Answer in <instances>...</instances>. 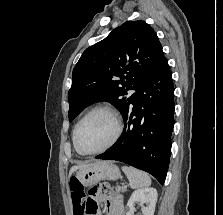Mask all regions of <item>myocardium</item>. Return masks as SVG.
<instances>
[{
  "instance_id": "myocardium-1",
  "label": "myocardium",
  "mask_w": 223,
  "mask_h": 215,
  "mask_svg": "<svg viewBox=\"0 0 223 215\" xmlns=\"http://www.w3.org/2000/svg\"><path fill=\"white\" fill-rule=\"evenodd\" d=\"M96 113H106L107 115H109L114 124H115V132L113 137L111 138V140L108 142L107 145H105L104 147H102L101 149L97 150V151H93V152H82L79 150V148L77 147V143H76V136H77V131L79 126L90 116H92L93 114ZM122 124L121 121L117 115V113L109 106H105V105H100V106H96L94 108H92L89 112H87L76 124L74 131H73V145L74 148L76 150V152L81 155V156H95L98 155L108 149H111L119 140L121 134H122Z\"/></svg>"
}]
</instances>
